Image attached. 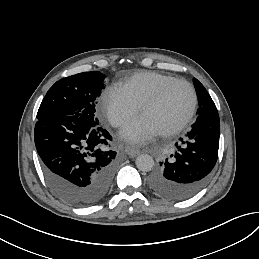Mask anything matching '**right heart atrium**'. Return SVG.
<instances>
[{
    "label": "right heart atrium",
    "instance_id": "right-heart-atrium-1",
    "mask_svg": "<svg viewBox=\"0 0 259 259\" xmlns=\"http://www.w3.org/2000/svg\"><path fill=\"white\" fill-rule=\"evenodd\" d=\"M98 105L101 115L114 127L122 126L140 112V105L114 85L102 89Z\"/></svg>",
    "mask_w": 259,
    "mask_h": 259
}]
</instances>
